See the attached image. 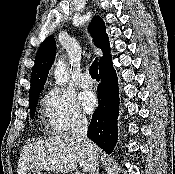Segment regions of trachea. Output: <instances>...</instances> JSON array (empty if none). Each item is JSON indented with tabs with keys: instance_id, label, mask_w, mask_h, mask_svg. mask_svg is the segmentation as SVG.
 <instances>
[{
	"instance_id": "1",
	"label": "trachea",
	"mask_w": 175,
	"mask_h": 174,
	"mask_svg": "<svg viewBox=\"0 0 175 174\" xmlns=\"http://www.w3.org/2000/svg\"><path fill=\"white\" fill-rule=\"evenodd\" d=\"M90 75L93 79L99 80L100 76L98 74V63H97V59H95L90 67Z\"/></svg>"
}]
</instances>
